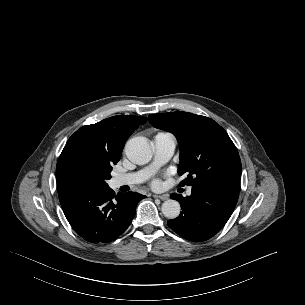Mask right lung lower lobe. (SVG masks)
Wrapping results in <instances>:
<instances>
[{"mask_svg": "<svg viewBox=\"0 0 305 305\" xmlns=\"http://www.w3.org/2000/svg\"><path fill=\"white\" fill-rule=\"evenodd\" d=\"M65 217L86 241L108 243L130 225L137 203L146 196L136 192L118 193L111 188L70 189L58 193Z\"/></svg>", "mask_w": 305, "mask_h": 305, "instance_id": "1", "label": "right lung lower lobe"}]
</instances>
